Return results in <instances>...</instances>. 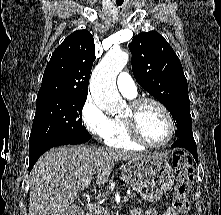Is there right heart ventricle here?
<instances>
[{
	"label": "right heart ventricle",
	"mask_w": 221,
	"mask_h": 215,
	"mask_svg": "<svg viewBox=\"0 0 221 215\" xmlns=\"http://www.w3.org/2000/svg\"><path fill=\"white\" fill-rule=\"evenodd\" d=\"M104 140L108 146L118 149L140 150L141 148H143V146L135 142L130 137L127 131L126 124L120 117H114L111 119V130L109 134L104 138Z\"/></svg>",
	"instance_id": "e07e8e85"
}]
</instances>
